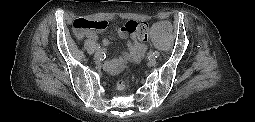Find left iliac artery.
Returning a JSON list of instances; mask_svg holds the SVG:
<instances>
[{
	"label": "left iliac artery",
	"instance_id": "obj_1",
	"mask_svg": "<svg viewBox=\"0 0 255 122\" xmlns=\"http://www.w3.org/2000/svg\"><path fill=\"white\" fill-rule=\"evenodd\" d=\"M152 56L155 57V58H158L159 57V52L158 51H154L152 53Z\"/></svg>",
	"mask_w": 255,
	"mask_h": 122
}]
</instances>
